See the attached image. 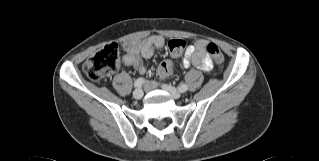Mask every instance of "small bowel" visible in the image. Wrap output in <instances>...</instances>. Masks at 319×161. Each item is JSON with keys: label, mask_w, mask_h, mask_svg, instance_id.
I'll return each instance as SVG.
<instances>
[{"label": "small bowel", "mask_w": 319, "mask_h": 161, "mask_svg": "<svg viewBox=\"0 0 319 161\" xmlns=\"http://www.w3.org/2000/svg\"><path fill=\"white\" fill-rule=\"evenodd\" d=\"M165 45V39L161 35H151L147 39L125 45L126 54L121 57V62L127 66L134 67L140 74H146L147 68L142 58H151L155 49H161ZM207 41L199 40L194 48L188 49L183 58L184 68L194 66L198 69L209 71L212 68V61L206 50ZM172 73L170 67L163 73H159L160 78H166ZM156 85L157 82L152 83Z\"/></svg>", "instance_id": "c3829d8e"}]
</instances>
